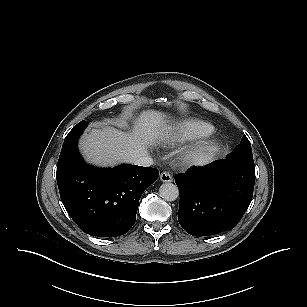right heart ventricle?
<instances>
[{"instance_id":"e07e8e85","label":"right heart ventricle","mask_w":307,"mask_h":307,"mask_svg":"<svg viewBox=\"0 0 307 307\" xmlns=\"http://www.w3.org/2000/svg\"><path fill=\"white\" fill-rule=\"evenodd\" d=\"M174 133L178 141L184 142L208 137L214 133V127L199 119L186 118L181 119L175 124Z\"/></svg>"}]
</instances>
